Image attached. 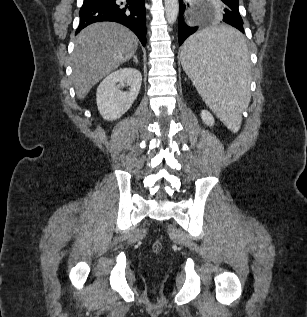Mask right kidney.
<instances>
[{"label": "right kidney", "instance_id": "ca27d5eb", "mask_svg": "<svg viewBox=\"0 0 307 317\" xmlns=\"http://www.w3.org/2000/svg\"><path fill=\"white\" fill-rule=\"evenodd\" d=\"M142 75L135 68H121L108 75L98 86L97 107L100 115L108 121L119 119L132 106L137 98ZM129 86V91L121 89Z\"/></svg>", "mask_w": 307, "mask_h": 317}]
</instances>
